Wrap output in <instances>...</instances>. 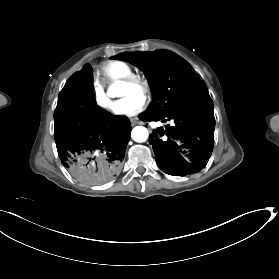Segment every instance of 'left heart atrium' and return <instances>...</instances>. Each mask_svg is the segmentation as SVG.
Listing matches in <instances>:
<instances>
[{"label":"left heart atrium","mask_w":279,"mask_h":279,"mask_svg":"<svg viewBox=\"0 0 279 279\" xmlns=\"http://www.w3.org/2000/svg\"><path fill=\"white\" fill-rule=\"evenodd\" d=\"M145 100L142 96H127L114 104L113 112L121 116H133L143 110Z\"/></svg>","instance_id":"obj_1"}]
</instances>
